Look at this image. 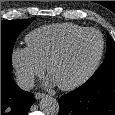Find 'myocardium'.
<instances>
[{"label": "myocardium", "mask_w": 115, "mask_h": 115, "mask_svg": "<svg viewBox=\"0 0 115 115\" xmlns=\"http://www.w3.org/2000/svg\"><path fill=\"white\" fill-rule=\"evenodd\" d=\"M87 33H96L99 38H100V50L98 53L97 58L95 59L94 63L92 64V66L80 77H78L77 79L69 82V83H56L58 85V87L62 90L65 91H70V90H74L78 87H80L81 85H83L84 83H86L93 75L94 73L97 71L103 55H104V50H105V41H104V37L101 34L100 31H98L95 28H85L84 30L72 35L70 38H68L65 43L53 54V56L49 59L48 63L46 64V70L48 73V76L51 77V73L53 68L55 67L56 64H58L70 51L71 47L73 46V44L82 36H84Z\"/></svg>", "instance_id": "1"}]
</instances>
